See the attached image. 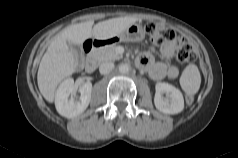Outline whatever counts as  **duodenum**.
Returning <instances> with one entry per match:
<instances>
[{"mask_svg": "<svg viewBox=\"0 0 238 158\" xmlns=\"http://www.w3.org/2000/svg\"><path fill=\"white\" fill-rule=\"evenodd\" d=\"M108 44H110L109 40H95L93 42L86 43L85 47L89 52L85 61V69L87 72L92 73L96 68V59L94 56L95 51Z\"/></svg>", "mask_w": 238, "mask_h": 158, "instance_id": "1", "label": "duodenum"}]
</instances>
